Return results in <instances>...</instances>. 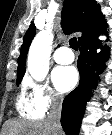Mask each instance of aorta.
<instances>
[{
	"mask_svg": "<svg viewBox=\"0 0 112 135\" xmlns=\"http://www.w3.org/2000/svg\"><path fill=\"white\" fill-rule=\"evenodd\" d=\"M52 29L40 31L32 41L29 49L27 67L36 81H43L49 71V57L52 50Z\"/></svg>",
	"mask_w": 112,
	"mask_h": 135,
	"instance_id": "762f6f07",
	"label": "aorta"
}]
</instances>
